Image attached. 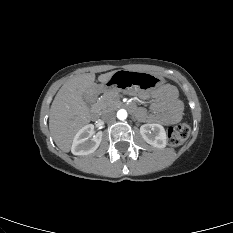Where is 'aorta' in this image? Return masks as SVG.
<instances>
[{
  "label": "aorta",
  "instance_id": "1",
  "mask_svg": "<svg viewBox=\"0 0 233 233\" xmlns=\"http://www.w3.org/2000/svg\"><path fill=\"white\" fill-rule=\"evenodd\" d=\"M117 118L119 120H125L127 118V111L125 109H120L117 112Z\"/></svg>",
  "mask_w": 233,
  "mask_h": 233
}]
</instances>
